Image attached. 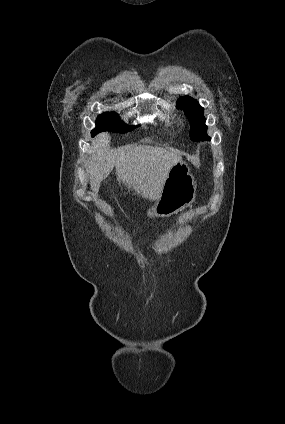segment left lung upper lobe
<instances>
[{"mask_svg":"<svg viewBox=\"0 0 285 424\" xmlns=\"http://www.w3.org/2000/svg\"><path fill=\"white\" fill-rule=\"evenodd\" d=\"M177 108L184 110L190 122V138L192 141L198 142L209 139L207 126L205 125L204 109L195 99L189 96L181 97L177 101Z\"/></svg>","mask_w":285,"mask_h":424,"instance_id":"5c2ea615","label":"left lung upper lobe"}]
</instances>
